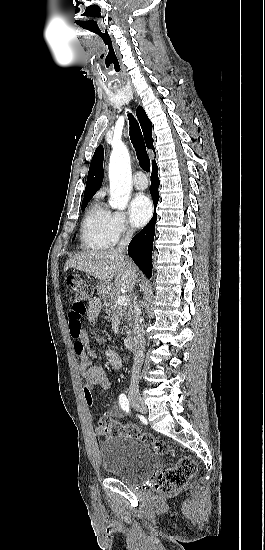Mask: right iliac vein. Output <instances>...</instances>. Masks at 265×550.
Here are the masks:
<instances>
[{"label": "right iliac vein", "mask_w": 265, "mask_h": 550, "mask_svg": "<svg viewBox=\"0 0 265 550\" xmlns=\"http://www.w3.org/2000/svg\"><path fill=\"white\" fill-rule=\"evenodd\" d=\"M129 400L131 405L141 413L147 412V406L144 403L137 387L132 386L129 390Z\"/></svg>", "instance_id": "obj_1"}]
</instances>
